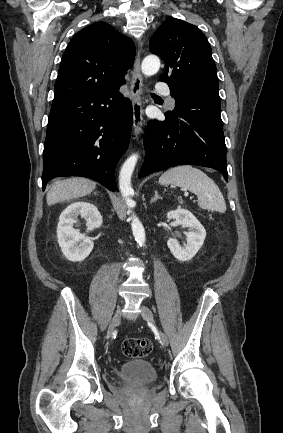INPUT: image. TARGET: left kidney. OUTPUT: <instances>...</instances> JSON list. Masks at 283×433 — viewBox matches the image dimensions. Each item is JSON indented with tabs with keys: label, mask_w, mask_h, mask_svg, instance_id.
<instances>
[{
	"label": "left kidney",
	"mask_w": 283,
	"mask_h": 433,
	"mask_svg": "<svg viewBox=\"0 0 283 433\" xmlns=\"http://www.w3.org/2000/svg\"><path fill=\"white\" fill-rule=\"evenodd\" d=\"M167 218L176 220L178 224L187 227L189 230L185 232L187 242L183 247L180 246L176 239H169L167 241V246L171 253L179 261L184 262L192 259L204 243L206 230L197 218L186 209L178 208L170 211L167 213Z\"/></svg>",
	"instance_id": "obj_1"
}]
</instances>
